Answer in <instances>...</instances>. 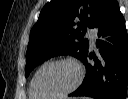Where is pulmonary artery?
<instances>
[{"instance_id": "1", "label": "pulmonary artery", "mask_w": 128, "mask_h": 99, "mask_svg": "<svg viewBox=\"0 0 128 99\" xmlns=\"http://www.w3.org/2000/svg\"><path fill=\"white\" fill-rule=\"evenodd\" d=\"M87 36L89 38L90 46L94 47L95 46V38H96L95 31L93 29H88Z\"/></svg>"}]
</instances>
